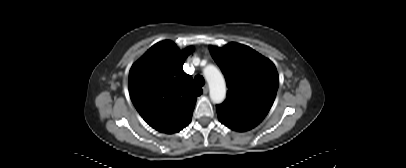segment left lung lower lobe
I'll list each match as a JSON object with an SVG mask.
<instances>
[{
  "label": "left lung lower lobe",
  "instance_id": "obj_1",
  "mask_svg": "<svg viewBox=\"0 0 406 168\" xmlns=\"http://www.w3.org/2000/svg\"><path fill=\"white\" fill-rule=\"evenodd\" d=\"M220 122L235 131H247L259 124V122L234 116L217 110Z\"/></svg>",
  "mask_w": 406,
  "mask_h": 168
}]
</instances>
